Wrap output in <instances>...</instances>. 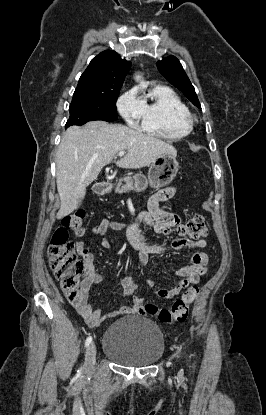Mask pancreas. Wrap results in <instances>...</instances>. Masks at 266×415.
Instances as JSON below:
<instances>
[{"mask_svg":"<svg viewBox=\"0 0 266 415\" xmlns=\"http://www.w3.org/2000/svg\"><path fill=\"white\" fill-rule=\"evenodd\" d=\"M126 182L125 185H122V182ZM135 187V183L133 179L130 176L124 177L119 180V182L116 185L115 192H118L119 194L126 193L130 190H133Z\"/></svg>","mask_w":266,"mask_h":415,"instance_id":"pancreas-1","label":"pancreas"}]
</instances>
